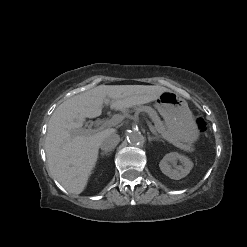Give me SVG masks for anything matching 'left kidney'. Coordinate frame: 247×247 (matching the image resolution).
Instances as JSON below:
<instances>
[{"label":"left kidney","mask_w":247,"mask_h":247,"mask_svg":"<svg viewBox=\"0 0 247 247\" xmlns=\"http://www.w3.org/2000/svg\"><path fill=\"white\" fill-rule=\"evenodd\" d=\"M177 161H180L181 165L177 166ZM159 167L162 173L169 178L179 180L190 173L193 163L188 157L180 155L177 152H171L163 157L159 163Z\"/></svg>","instance_id":"5707ae66"}]
</instances>
